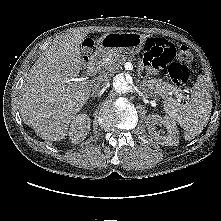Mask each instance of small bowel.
<instances>
[{"label":"small bowel","instance_id":"small-bowel-1","mask_svg":"<svg viewBox=\"0 0 221 221\" xmlns=\"http://www.w3.org/2000/svg\"><path fill=\"white\" fill-rule=\"evenodd\" d=\"M149 40L151 41L152 45L163 44L165 41V39H162V38H150ZM147 65H150V64L147 63Z\"/></svg>","mask_w":221,"mask_h":221}]
</instances>
